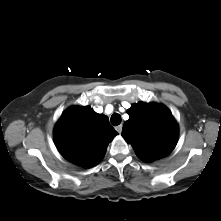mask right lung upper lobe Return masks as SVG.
Listing matches in <instances>:
<instances>
[{"instance_id": "cb5924a9", "label": "right lung upper lobe", "mask_w": 221, "mask_h": 221, "mask_svg": "<svg viewBox=\"0 0 221 221\" xmlns=\"http://www.w3.org/2000/svg\"><path fill=\"white\" fill-rule=\"evenodd\" d=\"M107 116L90 107L67 109L56 124L54 140L58 151L68 161L84 166L97 165L108 143L117 135Z\"/></svg>"}]
</instances>
